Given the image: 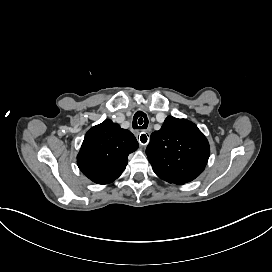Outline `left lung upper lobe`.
Masks as SVG:
<instances>
[{"label": "left lung upper lobe", "instance_id": "1", "mask_svg": "<svg viewBox=\"0 0 272 272\" xmlns=\"http://www.w3.org/2000/svg\"><path fill=\"white\" fill-rule=\"evenodd\" d=\"M146 154L159 178L182 185L202 173L210 147L194 123L169 116L161 129L151 134Z\"/></svg>", "mask_w": 272, "mask_h": 272}]
</instances>
